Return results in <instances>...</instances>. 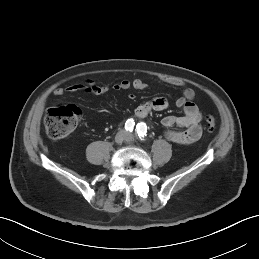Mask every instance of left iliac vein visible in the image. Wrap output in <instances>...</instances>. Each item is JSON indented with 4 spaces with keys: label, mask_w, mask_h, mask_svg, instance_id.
Here are the masks:
<instances>
[{
    "label": "left iliac vein",
    "mask_w": 259,
    "mask_h": 259,
    "mask_svg": "<svg viewBox=\"0 0 259 259\" xmlns=\"http://www.w3.org/2000/svg\"><path fill=\"white\" fill-rule=\"evenodd\" d=\"M126 141L128 143H132L134 141V137L132 134L128 133L127 136H126Z\"/></svg>",
    "instance_id": "1"
}]
</instances>
